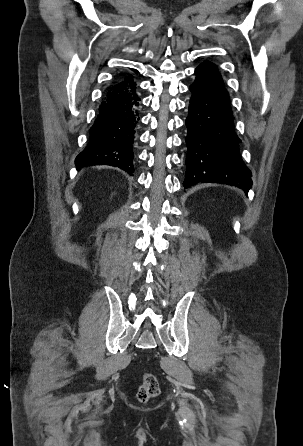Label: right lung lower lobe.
<instances>
[{"label": "right lung lower lobe", "instance_id": "obj_1", "mask_svg": "<svg viewBox=\"0 0 303 446\" xmlns=\"http://www.w3.org/2000/svg\"><path fill=\"white\" fill-rule=\"evenodd\" d=\"M140 98L131 77L116 81L107 91L86 148L76 157L77 169L92 165L119 167L134 172L133 144Z\"/></svg>", "mask_w": 303, "mask_h": 446}]
</instances>
